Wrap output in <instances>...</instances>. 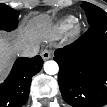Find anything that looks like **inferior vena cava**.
Instances as JSON below:
<instances>
[{
    "label": "inferior vena cava",
    "mask_w": 107,
    "mask_h": 107,
    "mask_svg": "<svg viewBox=\"0 0 107 107\" xmlns=\"http://www.w3.org/2000/svg\"><path fill=\"white\" fill-rule=\"evenodd\" d=\"M39 53V46L25 45L19 48L18 54L23 57H34Z\"/></svg>",
    "instance_id": "1"
}]
</instances>
